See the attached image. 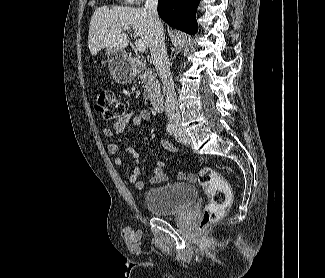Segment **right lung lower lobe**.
I'll list each match as a JSON object with an SVG mask.
<instances>
[{
    "mask_svg": "<svg viewBox=\"0 0 325 278\" xmlns=\"http://www.w3.org/2000/svg\"><path fill=\"white\" fill-rule=\"evenodd\" d=\"M200 0H159L158 14L170 26L195 34L198 29L196 10Z\"/></svg>",
    "mask_w": 325,
    "mask_h": 278,
    "instance_id": "obj_1",
    "label": "right lung lower lobe"
}]
</instances>
